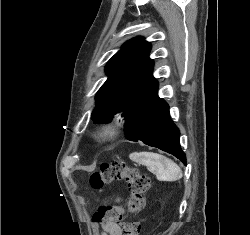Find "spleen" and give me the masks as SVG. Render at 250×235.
I'll list each match as a JSON object with an SVG mask.
<instances>
[{
  "label": "spleen",
  "instance_id": "3e777b00",
  "mask_svg": "<svg viewBox=\"0 0 250 235\" xmlns=\"http://www.w3.org/2000/svg\"><path fill=\"white\" fill-rule=\"evenodd\" d=\"M130 159L145 165L160 181H176L183 176L181 168L174 161L157 153H133Z\"/></svg>",
  "mask_w": 250,
  "mask_h": 235
}]
</instances>
